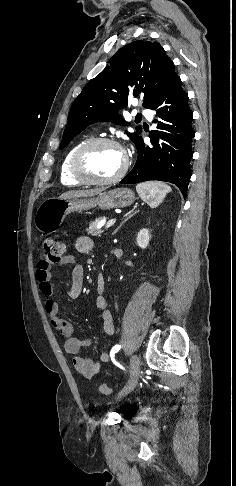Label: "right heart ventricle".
<instances>
[{"label":"right heart ventricle","instance_id":"right-heart-ventricle-1","mask_svg":"<svg viewBox=\"0 0 236 486\" xmlns=\"http://www.w3.org/2000/svg\"><path fill=\"white\" fill-rule=\"evenodd\" d=\"M88 140H89L88 138H83V139L77 141L67 151V153H66V155H65V157H64V159L61 163V167H60V180H61L62 184L66 185V186H71V187L79 186V185L83 184L73 177V175L70 171V163H71V159H72L75 151L83 143H85Z\"/></svg>","mask_w":236,"mask_h":486}]
</instances>
